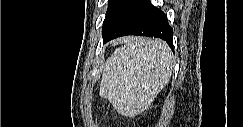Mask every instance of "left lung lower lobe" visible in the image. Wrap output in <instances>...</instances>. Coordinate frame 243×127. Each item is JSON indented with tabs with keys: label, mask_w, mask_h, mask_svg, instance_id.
<instances>
[{
	"label": "left lung lower lobe",
	"mask_w": 243,
	"mask_h": 127,
	"mask_svg": "<svg viewBox=\"0 0 243 127\" xmlns=\"http://www.w3.org/2000/svg\"><path fill=\"white\" fill-rule=\"evenodd\" d=\"M106 20L102 28L104 43L125 35H140L161 38L173 50V31L167 16L149 0H122Z\"/></svg>",
	"instance_id": "0a47b994"
}]
</instances>
